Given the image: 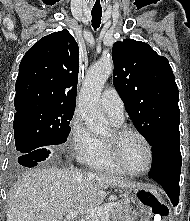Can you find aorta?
<instances>
[{"label": "aorta", "instance_id": "1", "mask_svg": "<svg viewBox=\"0 0 190 221\" xmlns=\"http://www.w3.org/2000/svg\"><path fill=\"white\" fill-rule=\"evenodd\" d=\"M113 71L111 60L95 63L88 70L79 96V111L87 128L97 135L106 134L109 123L100 105V95L105 82Z\"/></svg>", "mask_w": 190, "mask_h": 221}]
</instances>
